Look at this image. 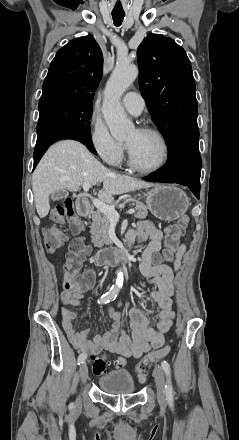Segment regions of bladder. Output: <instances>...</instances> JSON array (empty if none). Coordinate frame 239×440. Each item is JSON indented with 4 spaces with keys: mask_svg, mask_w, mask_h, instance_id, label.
<instances>
[{
    "mask_svg": "<svg viewBox=\"0 0 239 440\" xmlns=\"http://www.w3.org/2000/svg\"><path fill=\"white\" fill-rule=\"evenodd\" d=\"M99 388L113 395L132 394L136 390V385L131 374L124 370L111 371L98 380Z\"/></svg>",
    "mask_w": 239,
    "mask_h": 440,
    "instance_id": "obj_1",
    "label": "bladder"
}]
</instances>
